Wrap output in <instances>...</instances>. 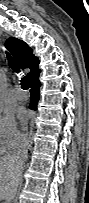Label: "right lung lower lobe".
<instances>
[{"instance_id":"right-lung-lower-lobe-1","label":"right lung lower lobe","mask_w":89,"mask_h":203,"mask_svg":"<svg viewBox=\"0 0 89 203\" xmlns=\"http://www.w3.org/2000/svg\"><path fill=\"white\" fill-rule=\"evenodd\" d=\"M38 77H39V74L29 81V85H30V88H31V90H30L31 99H30L29 108L32 109V110H36L37 104H38V101H39V98H40V86H41V83H40Z\"/></svg>"}]
</instances>
